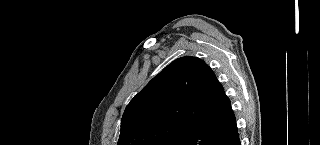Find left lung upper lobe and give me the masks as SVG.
I'll return each instance as SVG.
<instances>
[{
  "mask_svg": "<svg viewBox=\"0 0 320 145\" xmlns=\"http://www.w3.org/2000/svg\"><path fill=\"white\" fill-rule=\"evenodd\" d=\"M213 76L197 57L173 61L130 101L117 145H180L212 107Z\"/></svg>",
  "mask_w": 320,
  "mask_h": 145,
  "instance_id": "obj_1",
  "label": "left lung upper lobe"
}]
</instances>
